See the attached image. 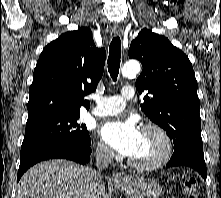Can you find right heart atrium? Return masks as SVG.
<instances>
[{"label":"right heart atrium","instance_id":"right-heart-atrium-1","mask_svg":"<svg viewBox=\"0 0 221 198\" xmlns=\"http://www.w3.org/2000/svg\"><path fill=\"white\" fill-rule=\"evenodd\" d=\"M96 155L99 159L109 161L113 158L112 150L103 142L99 141L95 147Z\"/></svg>","mask_w":221,"mask_h":198}]
</instances>
